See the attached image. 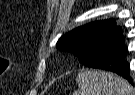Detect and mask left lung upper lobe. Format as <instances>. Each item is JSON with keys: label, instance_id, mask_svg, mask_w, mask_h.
Listing matches in <instances>:
<instances>
[{"label": "left lung upper lobe", "instance_id": "1", "mask_svg": "<svg viewBox=\"0 0 135 95\" xmlns=\"http://www.w3.org/2000/svg\"><path fill=\"white\" fill-rule=\"evenodd\" d=\"M120 31L112 19L91 22L63 35L57 42V48L72 52L84 64L104 38Z\"/></svg>", "mask_w": 135, "mask_h": 95}]
</instances>
